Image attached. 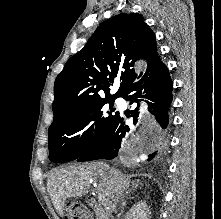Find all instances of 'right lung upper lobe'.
Returning a JSON list of instances; mask_svg holds the SVG:
<instances>
[{"label":"right lung upper lobe","instance_id":"1","mask_svg":"<svg viewBox=\"0 0 221 219\" xmlns=\"http://www.w3.org/2000/svg\"><path fill=\"white\" fill-rule=\"evenodd\" d=\"M157 57L155 34L141 15L121 13L102 22L55 80L54 121L81 106L122 96ZM115 78L121 84L111 95Z\"/></svg>","mask_w":221,"mask_h":219}]
</instances>
